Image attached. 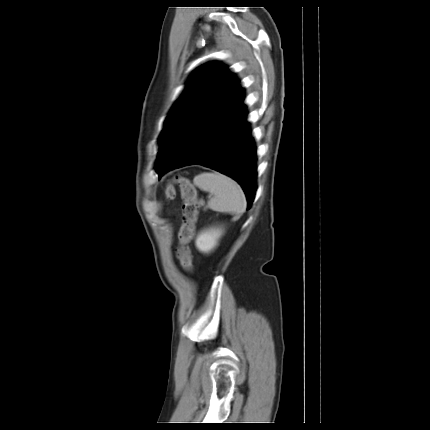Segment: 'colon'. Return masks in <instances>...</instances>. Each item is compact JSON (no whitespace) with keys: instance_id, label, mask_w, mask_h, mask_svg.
<instances>
[{"instance_id":"1","label":"colon","mask_w":430,"mask_h":430,"mask_svg":"<svg viewBox=\"0 0 430 430\" xmlns=\"http://www.w3.org/2000/svg\"><path fill=\"white\" fill-rule=\"evenodd\" d=\"M175 186L179 187L182 199V225L179 231L178 257L183 269L188 273H192L193 259L189 244L195 232L199 214V201L195 186L188 178L182 175L175 176L167 185L166 197L169 200H172L176 195Z\"/></svg>"}]
</instances>
